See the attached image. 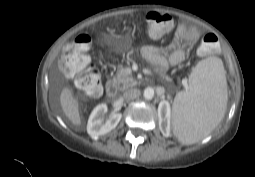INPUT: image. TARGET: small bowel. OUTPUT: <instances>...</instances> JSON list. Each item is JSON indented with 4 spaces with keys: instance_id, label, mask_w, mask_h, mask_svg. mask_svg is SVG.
<instances>
[{
    "instance_id": "c3829d8e",
    "label": "small bowel",
    "mask_w": 255,
    "mask_h": 177,
    "mask_svg": "<svg viewBox=\"0 0 255 177\" xmlns=\"http://www.w3.org/2000/svg\"><path fill=\"white\" fill-rule=\"evenodd\" d=\"M200 38L201 32L197 28L179 25L172 41L166 47L147 45L142 48V55L161 70H164L168 64L177 66L186 58V51L180 47L181 43L193 45Z\"/></svg>"
}]
</instances>
